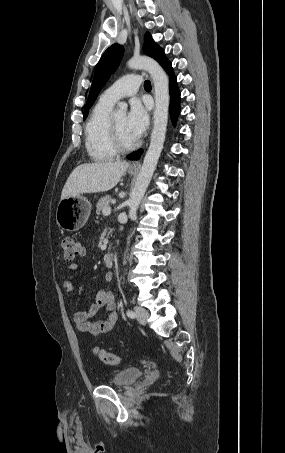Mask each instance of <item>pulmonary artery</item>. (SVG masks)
Masks as SVG:
<instances>
[{"label":"pulmonary artery","mask_w":285,"mask_h":453,"mask_svg":"<svg viewBox=\"0 0 285 453\" xmlns=\"http://www.w3.org/2000/svg\"><path fill=\"white\" fill-rule=\"evenodd\" d=\"M142 82L138 74H129L118 79L101 95L104 101L115 104L119 99L135 94Z\"/></svg>","instance_id":"pulmonary-artery-1"}]
</instances>
